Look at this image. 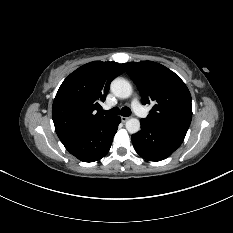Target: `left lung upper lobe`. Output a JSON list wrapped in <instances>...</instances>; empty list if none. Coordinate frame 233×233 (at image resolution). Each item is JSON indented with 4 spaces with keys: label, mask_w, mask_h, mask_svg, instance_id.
I'll list each match as a JSON object with an SVG mask.
<instances>
[{
    "label": "left lung upper lobe",
    "mask_w": 233,
    "mask_h": 233,
    "mask_svg": "<svg viewBox=\"0 0 233 233\" xmlns=\"http://www.w3.org/2000/svg\"><path fill=\"white\" fill-rule=\"evenodd\" d=\"M122 65L138 87L143 104L154 105L143 120L186 134L192 119V104L190 92L181 78L153 61Z\"/></svg>",
    "instance_id": "left-lung-upper-lobe-1"
}]
</instances>
